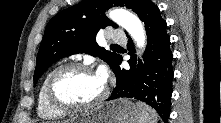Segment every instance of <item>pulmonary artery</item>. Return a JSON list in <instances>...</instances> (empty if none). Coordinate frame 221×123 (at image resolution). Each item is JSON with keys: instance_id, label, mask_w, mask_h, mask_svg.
<instances>
[{"instance_id": "e3ab8cb5", "label": "pulmonary artery", "mask_w": 221, "mask_h": 123, "mask_svg": "<svg viewBox=\"0 0 221 123\" xmlns=\"http://www.w3.org/2000/svg\"><path fill=\"white\" fill-rule=\"evenodd\" d=\"M108 39L115 43H123L126 40V36L122 30H112L109 35Z\"/></svg>"}]
</instances>
